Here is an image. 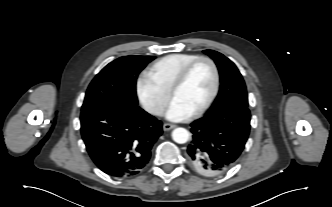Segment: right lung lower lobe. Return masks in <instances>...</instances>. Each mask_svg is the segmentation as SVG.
Listing matches in <instances>:
<instances>
[{"instance_id": "98d812e1", "label": "right lung lower lobe", "mask_w": 332, "mask_h": 207, "mask_svg": "<svg viewBox=\"0 0 332 207\" xmlns=\"http://www.w3.org/2000/svg\"><path fill=\"white\" fill-rule=\"evenodd\" d=\"M81 134L97 167L112 177L138 174L162 134V122L140 107L101 106L81 112Z\"/></svg>"}]
</instances>
